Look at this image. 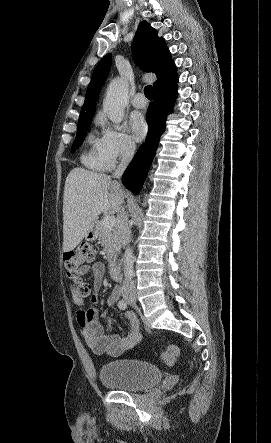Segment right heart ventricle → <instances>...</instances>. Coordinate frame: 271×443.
<instances>
[{
  "mask_svg": "<svg viewBox=\"0 0 271 443\" xmlns=\"http://www.w3.org/2000/svg\"><path fill=\"white\" fill-rule=\"evenodd\" d=\"M98 143L99 140L95 139L92 134L88 136V146L81 156L82 162L91 169H109L112 165L100 153Z\"/></svg>",
  "mask_w": 271,
  "mask_h": 443,
  "instance_id": "1",
  "label": "right heart ventricle"
}]
</instances>
